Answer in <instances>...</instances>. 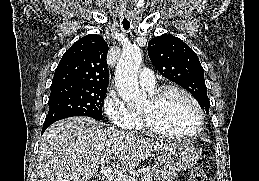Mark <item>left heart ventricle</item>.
Returning <instances> with one entry per match:
<instances>
[{
	"mask_svg": "<svg viewBox=\"0 0 259 181\" xmlns=\"http://www.w3.org/2000/svg\"><path fill=\"white\" fill-rule=\"evenodd\" d=\"M141 112H150L155 125L170 132L189 133L198 126L195 107L178 92H169L154 107L148 98Z\"/></svg>",
	"mask_w": 259,
	"mask_h": 181,
	"instance_id": "obj_1",
	"label": "left heart ventricle"
}]
</instances>
